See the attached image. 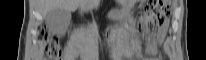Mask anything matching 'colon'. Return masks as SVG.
I'll use <instances>...</instances> for the list:
<instances>
[{"label":"colon","mask_w":206,"mask_h":60,"mask_svg":"<svg viewBox=\"0 0 206 60\" xmlns=\"http://www.w3.org/2000/svg\"><path fill=\"white\" fill-rule=\"evenodd\" d=\"M171 10H172L171 1L168 0L150 1L144 9V16H143L144 22L151 23V24H162L170 15ZM43 36L45 41L46 55L53 59L60 57L62 51L58 45L57 40L45 32H43Z\"/></svg>","instance_id":"5ec220e1"}]
</instances>
